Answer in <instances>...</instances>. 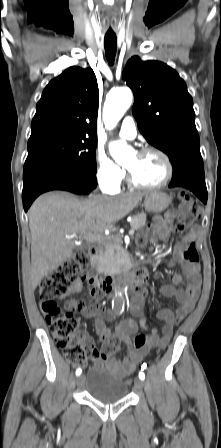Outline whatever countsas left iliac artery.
I'll return each mask as SVG.
<instances>
[{"instance_id":"left-iliac-artery-1","label":"left iliac artery","mask_w":221,"mask_h":448,"mask_svg":"<svg viewBox=\"0 0 221 448\" xmlns=\"http://www.w3.org/2000/svg\"><path fill=\"white\" fill-rule=\"evenodd\" d=\"M146 368V364L144 363L143 365H142V369H145ZM139 378L141 379V380H144L145 379V374L141 371L140 373H139Z\"/></svg>"}]
</instances>
